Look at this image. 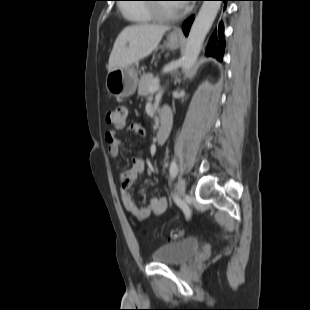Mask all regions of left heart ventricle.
I'll list each match as a JSON object with an SVG mask.
<instances>
[{
	"instance_id": "b2bd125f",
	"label": "left heart ventricle",
	"mask_w": 310,
	"mask_h": 310,
	"mask_svg": "<svg viewBox=\"0 0 310 310\" xmlns=\"http://www.w3.org/2000/svg\"><path fill=\"white\" fill-rule=\"evenodd\" d=\"M164 8L167 10V11H175V10H178L177 7L173 4H163Z\"/></svg>"
}]
</instances>
